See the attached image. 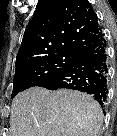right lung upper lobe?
<instances>
[{"label":"right lung upper lobe","mask_w":117,"mask_h":136,"mask_svg":"<svg viewBox=\"0 0 117 136\" xmlns=\"http://www.w3.org/2000/svg\"><path fill=\"white\" fill-rule=\"evenodd\" d=\"M102 31L87 0H38L16 57V68L61 52L80 53Z\"/></svg>","instance_id":"cb5924a9"}]
</instances>
